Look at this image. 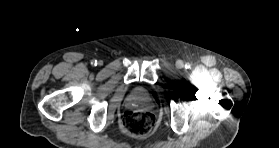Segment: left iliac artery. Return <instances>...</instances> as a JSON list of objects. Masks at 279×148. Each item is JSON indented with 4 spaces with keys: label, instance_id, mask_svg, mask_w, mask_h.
Returning <instances> with one entry per match:
<instances>
[{
    "label": "left iliac artery",
    "instance_id": "left-iliac-artery-1",
    "mask_svg": "<svg viewBox=\"0 0 279 148\" xmlns=\"http://www.w3.org/2000/svg\"><path fill=\"white\" fill-rule=\"evenodd\" d=\"M185 67H186V68H190V63H186V64H185Z\"/></svg>",
    "mask_w": 279,
    "mask_h": 148
}]
</instances>
